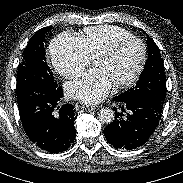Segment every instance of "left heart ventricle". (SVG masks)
<instances>
[{"label": "left heart ventricle", "mask_w": 183, "mask_h": 183, "mask_svg": "<svg viewBox=\"0 0 183 183\" xmlns=\"http://www.w3.org/2000/svg\"><path fill=\"white\" fill-rule=\"evenodd\" d=\"M142 50L139 43L129 41L112 56L94 61V69L102 70L112 84L121 82L132 75L137 68Z\"/></svg>", "instance_id": "1"}]
</instances>
